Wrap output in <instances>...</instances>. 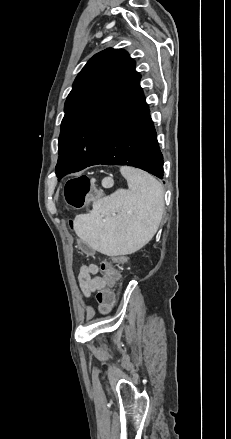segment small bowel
<instances>
[{
    "instance_id": "c3829d8e",
    "label": "small bowel",
    "mask_w": 231,
    "mask_h": 439,
    "mask_svg": "<svg viewBox=\"0 0 231 439\" xmlns=\"http://www.w3.org/2000/svg\"><path fill=\"white\" fill-rule=\"evenodd\" d=\"M98 272V266L95 264L81 267L78 280L80 289L85 297H89L93 293H99V288L107 285L103 276H100Z\"/></svg>"
}]
</instances>
